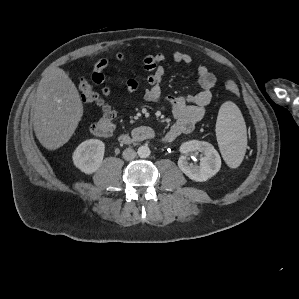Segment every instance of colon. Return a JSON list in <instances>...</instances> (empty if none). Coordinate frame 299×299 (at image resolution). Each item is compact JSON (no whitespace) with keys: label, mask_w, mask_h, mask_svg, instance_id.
I'll list each match as a JSON object with an SVG mask.
<instances>
[{"label":"colon","mask_w":299,"mask_h":299,"mask_svg":"<svg viewBox=\"0 0 299 299\" xmlns=\"http://www.w3.org/2000/svg\"><path fill=\"white\" fill-rule=\"evenodd\" d=\"M78 88L84 102L91 103L99 107L102 111L100 118L91 124L90 132L99 137L110 136L115 129V111L104 103L85 78L80 79ZM225 88L230 94L234 96L239 95V88L234 80L227 79L225 81Z\"/></svg>","instance_id":"obj_1"}]
</instances>
